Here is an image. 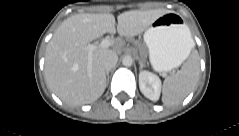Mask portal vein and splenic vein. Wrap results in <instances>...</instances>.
I'll use <instances>...</instances> for the list:
<instances>
[{
    "label": "portal vein and splenic vein",
    "instance_id": "obj_1",
    "mask_svg": "<svg viewBox=\"0 0 239 136\" xmlns=\"http://www.w3.org/2000/svg\"><path fill=\"white\" fill-rule=\"evenodd\" d=\"M111 45V41L109 39H103L99 44H88L86 49L88 51V60L89 64L92 61V54L98 48H108Z\"/></svg>",
    "mask_w": 239,
    "mask_h": 136
}]
</instances>
